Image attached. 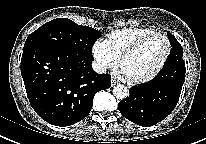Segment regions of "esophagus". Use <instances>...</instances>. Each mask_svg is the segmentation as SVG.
Returning a JSON list of instances; mask_svg holds the SVG:
<instances>
[{
	"label": "esophagus",
	"instance_id": "1",
	"mask_svg": "<svg viewBox=\"0 0 206 144\" xmlns=\"http://www.w3.org/2000/svg\"><path fill=\"white\" fill-rule=\"evenodd\" d=\"M118 84V81L116 80V79H111V86L113 87V86H115V85H117Z\"/></svg>",
	"mask_w": 206,
	"mask_h": 144
}]
</instances>
